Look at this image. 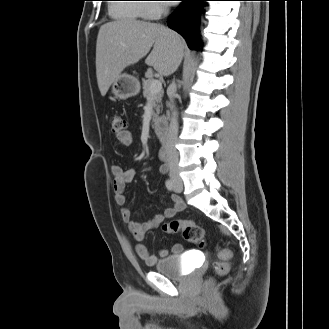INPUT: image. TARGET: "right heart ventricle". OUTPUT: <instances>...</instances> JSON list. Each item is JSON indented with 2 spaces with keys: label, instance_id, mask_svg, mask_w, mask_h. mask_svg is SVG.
Returning <instances> with one entry per match:
<instances>
[{
  "label": "right heart ventricle",
  "instance_id": "1",
  "mask_svg": "<svg viewBox=\"0 0 329 329\" xmlns=\"http://www.w3.org/2000/svg\"><path fill=\"white\" fill-rule=\"evenodd\" d=\"M117 2H142V0H114ZM146 4L141 3H119L110 6L113 17L127 20H141L146 18Z\"/></svg>",
  "mask_w": 329,
  "mask_h": 329
}]
</instances>
